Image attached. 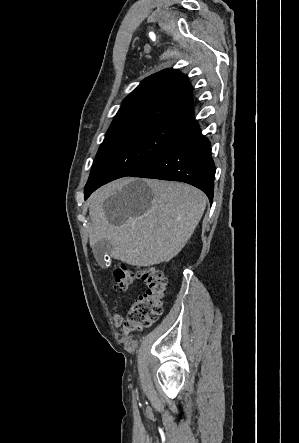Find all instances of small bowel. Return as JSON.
<instances>
[{
    "instance_id": "c3829d8e",
    "label": "small bowel",
    "mask_w": 299,
    "mask_h": 443,
    "mask_svg": "<svg viewBox=\"0 0 299 443\" xmlns=\"http://www.w3.org/2000/svg\"><path fill=\"white\" fill-rule=\"evenodd\" d=\"M114 323L116 325H120L122 323V317L120 315H115L114 316Z\"/></svg>"
}]
</instances>
